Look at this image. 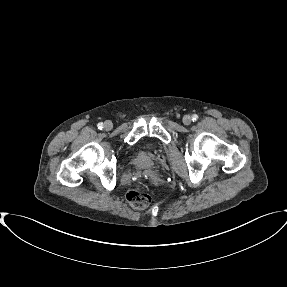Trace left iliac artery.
Masks as SVG:
<instances>
[{
    "mask_svg": "<svg viewBox=\"0 0 287 287\" xmlns=\"http://www.w3.org/2000/svg\"><path fill=\"white\" fill-rule=\"evenodd\" d=\"M197 119H198V115L194 114V115L192 116V120H193V121H196Z\"/></svg>",
    "mask_w": 287,
    "mask_h": 287,
    "instance_id": "1",
    "label": "left iliac artery"
}]
</instances>
